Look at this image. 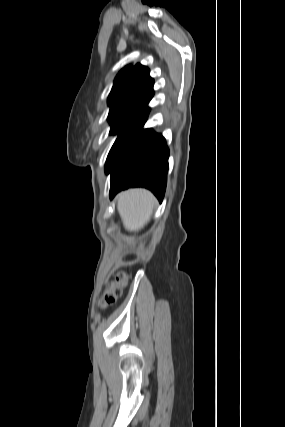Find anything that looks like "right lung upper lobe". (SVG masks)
I'll return each mask as SVG.
<instances>
[{
	"mask_svg": "<svg viewBox=\"0 0 285 427\" xmlns=\"http://www.w3.org/2000/svg\"><path fill=\"white\" fill-rule=\"evenodd\" d=\"M153 79L149 69L137 64L123 68L115 78L108 97L109 117L120 114L148 113L153 97Z\"/></svg>",
	"mask_w": 285,
	"mask_h": 427,
	"instance_id": "obj_1",
	"label": "right lung upper lobe"
}]
</instances>
